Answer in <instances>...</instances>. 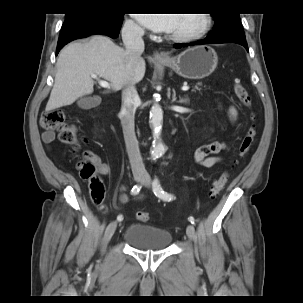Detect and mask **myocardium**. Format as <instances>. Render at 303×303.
I'll return each instance as SVG.
<instances>
[{
  "mask_svg": "<svg viewBox=\"0 0 303 303\" xmlns=\"http://www.w3.org/2000/svg\"><path fill=\"white\" fill-rule=\"evenodd\" d=\"M202 19V24L196 30L190 32L171 33L169 37L176 41H191L203 36L212 25L211 15L208 13H198Z\"/></svg>",
  "mask_w": 303,
  "mask_h": 303,
  "instance_id": "f54148a6",
  "label": "myocardium"
}]
</instances>
